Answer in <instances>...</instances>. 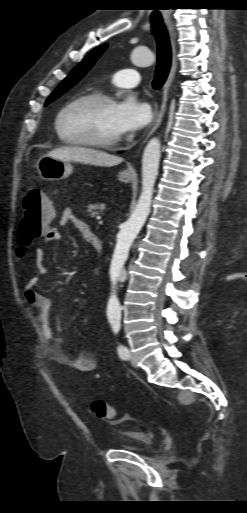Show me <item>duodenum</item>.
<instances>
[{"instance_id":"410a0bca","label":"duodenum","mask_w":247,"mask_h":513,"mask_svg":"<svg viewBox=\"0 0 247 513\" xmlns=\"http://www.w3.org/2000/svg\"><path fill=\"white\" fill-rule=\"evenodd\" d=\"M87 241L90 242L92 244V246L94 247V249L98 252V253H101L102 250H103V244L101 242V240L94 234V233H90L87 237Z\"/></svg>"}]
</instances>
